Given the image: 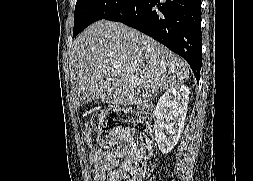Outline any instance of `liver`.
<instances>
[{"mask_svg": "<svg viewBox=\"0 0 253 181\" xmlns=\"http://www.w3.org/2000/svg\"><path fill=\"white\" fill-rule=\"evenodd\" d=\"M188 78V64L181 57L118 22L93 23L75 39L70 54L77 106L94 99L118 106L143 104Z\"/></svg>", "mask_w": 253, "mask_h": 181, "instance_id": "1", "label": "liver"}]
</instances>
